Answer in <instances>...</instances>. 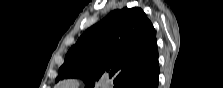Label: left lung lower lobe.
<instances>
[{
    "label": "left lung lower lobe",
    "instance_id": "0a47b994",
    "mask_svg": "<svg viewBox=\"0 0 223 88\" xmlns=\"http://www.w3.org/2000/svg\"><path fill=\"white\" fill-rule=\"evenodd\" d=\"M159 63L156 59L138 77L128 82L124 88H158Z\"/></svg>",
    "mask_w": 223,
    "mask_h": 88
}]
</instances>
